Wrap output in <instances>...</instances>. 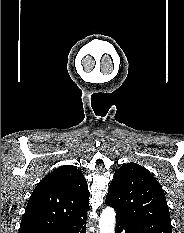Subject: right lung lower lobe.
<instances>
[{
  "instance_id": "98d812e1",
  "label": "right lung lower lobe",
  "mask_w": 184,
  "mask_h": 233,
  "mask_svg": "<svg viewBox=\"0 0 184 233\" xmlns=\"http://www.w3.org/2000/svg\"><path fill=\"white\" fill-rule=\"evenodd\" d=\"M86 217L59 227H52L38 233H85Z\"/></svg>"
}]
</instances>
